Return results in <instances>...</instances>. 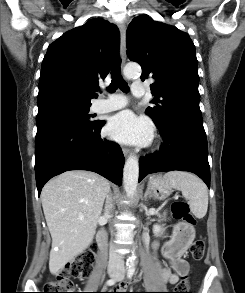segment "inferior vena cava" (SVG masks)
I'll use <instances>...</instances> for the list:
<instances>
[{
  "label": "inferior vena cava",
  "instance_id": "602c4592",
  "mask_svg": "<svg viewBox=\"0 0 245 293\" xmlns=\"http://www.w3.org/2000/svg\"><path fill=\"white\" fill-rule=\"evenodd\" d=\"M106 203L107 204L105 206V217H108L110 214V209L112 208V205L110 204L108 199ZM123 267H124V261L122 257L114 250V248H111L109 252L108 269L121 271Z\"/></svg>",
  "mask_w": 245,
  "mask_h": 293
}]
</instances>
